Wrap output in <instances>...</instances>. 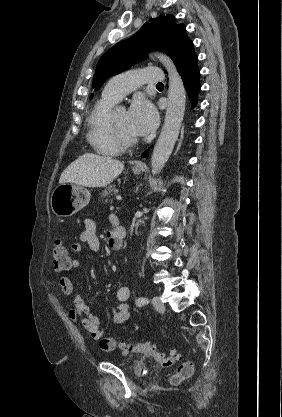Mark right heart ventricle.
<instances>
[{"instance_id":"obj_1","label":"right heart ventricle","mask_w":282,"mask_h":417,"mask_svg":"<svg viewBox=\"0 0 282 417\" xmlns=\"http://www.w3.org/2000/svg\"><path fill=\"white\" fill-rule=\"evenodd\" d=\"M115 103V100L102 95L88 117L89 142L96 150L108 155L117 152L120 147L108 128L109 115Z\"/></svg>"}]
</instances>
